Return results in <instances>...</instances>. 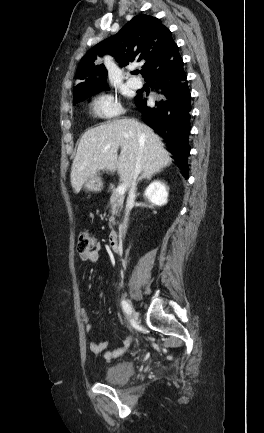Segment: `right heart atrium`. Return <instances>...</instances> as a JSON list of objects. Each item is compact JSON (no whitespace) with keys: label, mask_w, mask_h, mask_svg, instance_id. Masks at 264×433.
<instances>
[{"label":"right heart atrium","mask_w":264,"mask_h":433,"mask_svg":"<svg viewBox=\"0 0 264 433\" xmlns=\"http://www.w3.org/2000/svg\"><path fill=\"white\" fill-rule=\"evenodd\" d=\"M93 114L101 119H110L121 114L122 108L116 96L98 94L92 101Z\"/></svg>","instance_id":"d8ad5b80"}]
</instances>
